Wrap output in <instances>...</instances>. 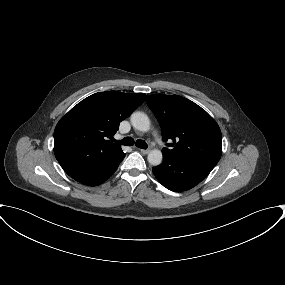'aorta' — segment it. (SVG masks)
Wrapping results in <instances>:
<instances>
[{
	"label": "aorta",
	"mask_w": 285,
	"mask_h": 285,
	"mask_svg": "<svg viewBox=\"0 0 285 285\" xmlns=\"http://www.w3.org/2000/svg\"><path fill=\"white\" fill-rule=\"evenodd\" d=\"M130 120L132 126L139 131L147 132L150 129V120L143 112H134ZM162 158L163 155L159 149H153L148 154V162L153 166L159 165L162 162Z\"/></svg>",
	"instance_id": "obj_1"
}]
</instances>
